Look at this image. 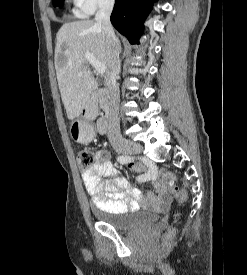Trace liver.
Masks as SVG:
<instances>
[{
    "label": "liver",
    "instance_id": "obj_1",
    "mask_svg": "<svg viewBox=\"0 0 247 275\" xmlns=\"http://www.w3.org/2000/svg\"><path fill=\"white\" fill-rule=\"evenodd\" d=\"M89 52L109 68V50L102 30L92 20L62 25L56 36L55 69L67 117H78L98 85L84 54Z\"/></svg>",
    "mask_w": 247,
    "mask_h": 275
}]
</instances>
